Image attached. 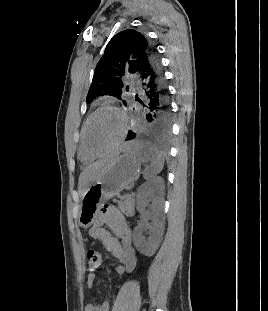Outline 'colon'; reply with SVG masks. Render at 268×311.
I'll list each match as a JSON object with an SVG mask.
<instances>
[{"label":"colon","mask_w":268,"mask_h":311,"mask_svg":"<svg viewBox=\"0 0 268 311\" xmlns=\"http://www.w3.org/2000/svg\"><path fill=\"white\" fill-rule=\"evenodd\" d=\"M102 262V254L100 251L90 250L87 253V265L90 271H96Z\"/></svg>","instance_id":"colon-1"}]
</instances>
